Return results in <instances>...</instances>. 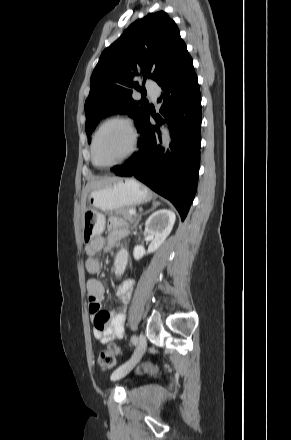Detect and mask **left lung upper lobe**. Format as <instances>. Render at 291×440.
Instances as JSON below:
<instances>
[{"mask_svg":"<svg viewBox=\"0 0 291 440\" xmlns=\"http://www.w3.org/2000/svg\"><path fill=\"white\" fill-rule=\"evenodd\" d=\"M186 52L176 23L165 12L150 13L132 23L102 52L92 73L85 102L87 136L100 119L115 113H127L136 119L139 130L149 102L133 100V91L143 90L136 77L141 75L159 83Z\"/></svg>","mask_w":291,"mask_h":440,"instance_id":"obj_1","label":"left lung upper lobe"}]
</instances>
